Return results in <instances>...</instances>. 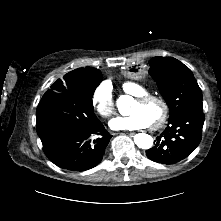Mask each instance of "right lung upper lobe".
<instances>
[{
	"mask_svg": "<svg viewBox=\"0 0 221 221\" xmlns=\"http://www.w3.org/2000/svg\"><path fill=\"white\" fill-rule=\"evenodd\" d=\"M97 73H100L99 70H97L96 68H92V67H86V68H79L76 70H73L69 73H67L63 78L64 80L59 79V82L64 83V85L66 84H70L74 81L89 77V76H93Z\"/></svg>",
	"mask_w": 221,
	"mask_h": 221,
	"instance_id": "obj_1",
	"label": "right lung upper lobe"
}]
</instances>
